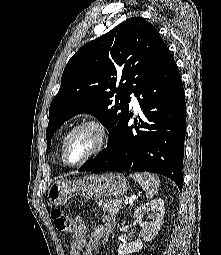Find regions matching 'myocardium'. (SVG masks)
<instances>
[{"instance_id":"obj_1","label":"myocardium","mask_w":221,"mask_h":255,"mask_svg":"<svg viewBox=\"0 0 221 255\" xmlns=\"http://www.w3.org/2000/svg\"><path fill=\"white\" fill-rule=\"evenodd\" d=\"M85 128L92 129L96 133V138H97L96 144L94 148L92 149V151L88 155H86L83 159L75 163H70L68 162L66 158V147H67L68 141L76 132ZM107 139H108L107 127L101 120L97 118H90V119L84 120L83 122L74 126L67 133V135L65 136L63 140L62 147H61V158L63 163L71 167H77V166L83 165L88 160L92 159L93 157H95L102 151V149L104 148L107 142Z\"/></svg>"}]
</instances>
